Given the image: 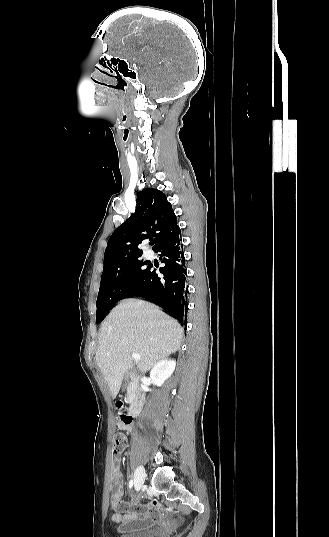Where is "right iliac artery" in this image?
Wrapping results in <instances>:
<instances>
[{
	"label": "right iliac artery",
	"mask_w": 329,
	"mask_h": 537,
	"mask_svg": "<svg viewBox=\"0 0 329 537\" xmlns=\"http://www.w3.org/2000/svg\"><path fill=\"white\" fill-rule=\"evenodd\" d=\"M133 486V480L131 479L130 482H129V489H131Z\"/></svg>",
	"instance_id": "82829eb1"
}]
</instances>
